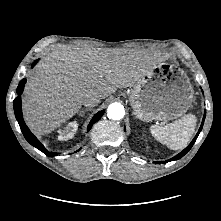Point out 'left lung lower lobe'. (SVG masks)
Listing matches in <instances>:
<instances>
[{
	"label": "left lung lower lobe",
	"mask_w": 221,
	"mask_h": 221,
	"mask_svg": "<svg viewBox=\"0 0 221 221\" xmlns=\"http://www.w3.org/2000/svg\"><path fill=\"white\" fill-rule=\"evenodd\" d=\"M205 116H206V113L204 114V117H203V120H202L200 129H199L197 135H196L195 138L192 140V142L188 145V147L185 148L181 153H179L178 155H176L175 157L171 158V159L168 160V161H172V160L174 161V160L180 159L181 157H183V156L191 149V147H192L193 144L195 143V141H196V139H197L199 133H200L201 130H202V127H203V124H204V120H205ZM166 162H167V161H165V162H163V163H166ZM156 163H157V162H156Z\"/></svg>",
	"instance_id": "obj_1"
}]
</instances>
